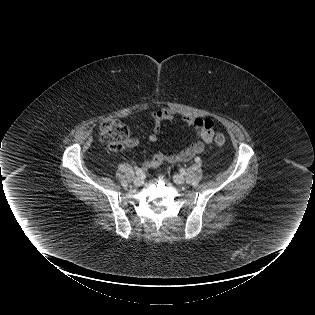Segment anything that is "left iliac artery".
<instances>
[{
    "label": "left iliac artery",
    "instance_id": "44dca946",
    "mask_svg": "<svg viewBox=\"0 0 315 315\" xmlns=\"http://www.w3.org/2000/svg\"><path fill=\"white\" fill-rule=\"evenodd\" d=\"M200 161H201V159H200L199 157H196V158H195V162H196V163H200ZM184 173H185V171H183V174H184Z\"/></svg>",
    "mask_w": 315,
    "mask_h": 315
}]
</instances>
